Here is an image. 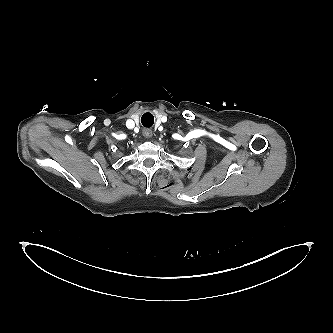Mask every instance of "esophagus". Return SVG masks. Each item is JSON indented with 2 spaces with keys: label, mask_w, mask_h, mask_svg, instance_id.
I'll return each mask as SVG.
<instances>
[{
  "label": "esophagus",
  "mask_w": 333,
  "mask_h": 333,
  "mask_svg": "<svg viewBox=\"0 0 333 333\" xmlns=\"http://www.w3.org/2000/svg\"><path fill=\"white\" fill-rule=\"evenodd\" d=\"M152 135H153V133H152V131L149 130V129H145V130L143 131V136H144L145 138H151Z\"/></svg>",
  "instance_id": "esophagus-1"
}]
</instances>
